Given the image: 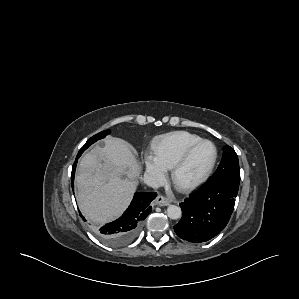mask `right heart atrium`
Wrapping results in <instances>:
<instances>
[{
	"instance_id": "d8ad5b80",
	"label": "right heart atrium",
	"mask_w": 299,
	"mask_h": 299,
	"mask_svg": "<svg viewBox=\"0 0 299 299\" xmlns=\"http://www.w3.org/2000/svg\"><path fill=\"white\" fill-rule=\"evenodd\" d=\"M145 168L146 174L152 183L159 184L164 181L166 171L153 156L146 158Z\"/></svg>"
}]
</instances>
